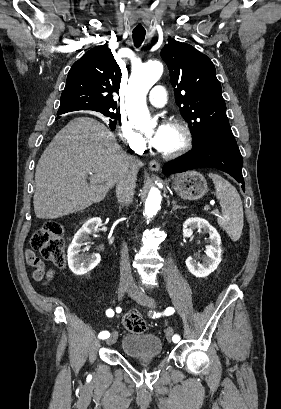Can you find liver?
Returning <instances> with one entry per match:
<instances>
[{
  "label": "liver",
  "instance_id": "1",
  "mask_svg": "<svg viewBox=\"0 0 281 409\" xmlns=\"http://www.w3.org/2000/svg\"><path fill=\"white\" fill-rule=\"evenodd\" d=\"M127 158L130 154L105 124L89 116L73 118L38 160L33 198L36 217L59 219L100 202L119 180Z\"/></svg>",
  "mask_w": 281,
  "mask_h": 409
}]
</instances>
